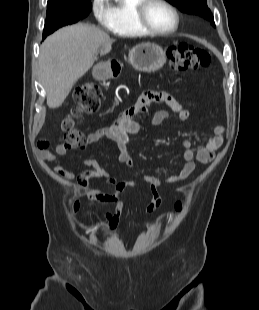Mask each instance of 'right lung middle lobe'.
Instances as JSON below:
<instances>
[{
	"label": "right lung middle lobe",
	"mask_w": 259,
	"mask_h": 310,
	"mask_svg": "<svg viewBox=\"0 0 259 310\" xmlns=\"http://www.w3.org/2000/svg\"><path fill=\"white\" fill-rule=\"evenodd\" d=\"M92 9L90 1L79 3H65L47 6L46 21L43 38L57 29L78 22L86 17Z\"/></svg>",
	"instance_id": "1"
}]
</instances>
